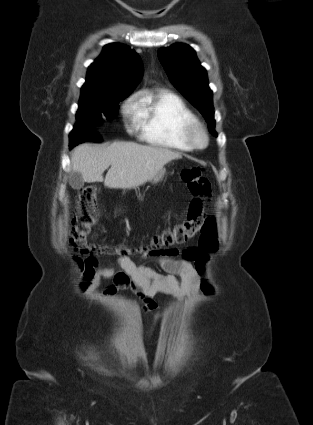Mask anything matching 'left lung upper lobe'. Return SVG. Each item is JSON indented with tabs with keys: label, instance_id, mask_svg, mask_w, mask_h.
Instances as JSON below:
<instances>
[{
	"label": "left lung upper lobe",
	"instance_id": "1",
	"mask_svg": "<svg viewBox=\"0 0 313 425\" xmlns=\"http://www.w3.org/2000/svg\"><path fill=\"white\" fill-rule=\"evenodd\" d=\"M172 84L204 116L215 137L213 94L208 86L207 73L189 45L179 43L157 52Z\"/></svg>",
	"mask_w": 313,
	"mask_h": 425
}]
</instances>
